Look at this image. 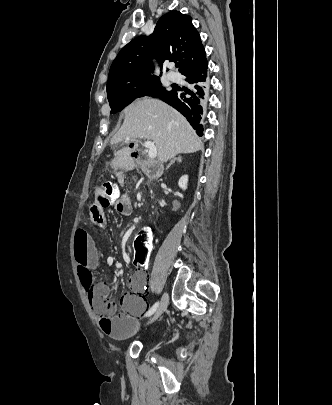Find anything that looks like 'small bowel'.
I'll return each instance as SVG.
<instances>
[{
    "label": "small bowel",
    "instance_id": "small-bowel-1",
    "mask_svg": "<svg viewBox=\"0 0 332 405\" xmlns=\"http://www.w3.org/2000/svg\"><path fill=\"white\" fill-rule=\"evenodd\" d=\"M122 166L126 169H132L135 167L134 160L131 157H126L122 159ZM116 178L123 180L125 173L118 171ZM97 195L101 198L104 194L100 191ZM119 196L113 203V210L123 216L131 215L133 212L132 197L120 192ZM95 206H97L96 201L88 209V216L92 217L96 225L103 226L105 223L103 209L93 208ZM94 217H100L102 223H98ZM134 223L138 222L135 221ZM73 251L79 276L78 285L82 292H89L94 285L93 269L97 266L98 252L94 240L82 228H79L75 233ZM130 253L131 251H127L123 255L126 263H130L132 260ZM108 264L115 265V261L112 259L111 262L108 261ZM146 284L147 276L143 270L136 271L130 277L128 285L131 293L126 295L123 300L125 313L111 317H99V326L106 335L113 339H123L135 332L139 325L138 318L146 310V299L144 297Z\"/></svg>",
    "mask_w": 332,
    "mask_h": 405
}]
</instances>
